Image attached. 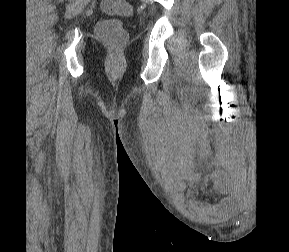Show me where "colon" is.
Wrapping results in <instances>:
<instances>
[{"mask_svg": "<svg viewBox=\"0 0 289 252\" xmlns=\"http://www.w3.org/2000/svg\"><path fill=\"white\" fill-rule=\"evenodd\" d=\"M102 11L108 15L131 16L133 13L131 5L126 0H102ZM97 35L107 43L120 46L125 43L127 34L122 22L118 19H106L97 24Z\"/></svg>", "mask_w": 289, "mask_h": 252, "instance_id": "obj_1", "label": "colon"}]
</instances>
